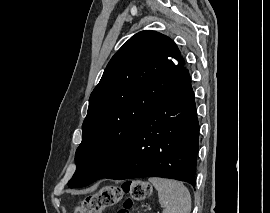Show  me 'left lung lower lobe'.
<instances>
[{"label": "left lung lower lobe", "mask_w": 270, "mask_h": 213, "mask_svg": "<svg viewBox=\"0 0 270 213\" xmlns=\"http://www.w3.org/2000/svg\"><path fill=\"white\" fill-rule=\"evenodd\" d=\"M199 124L188 70L143 119L104 178L164 177L196 185Z\"/></svg>", "instance_id": "left-lung-lower-lobe-1"}]
</instances>
